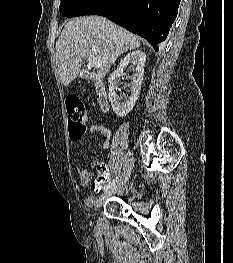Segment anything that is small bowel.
<instances>
[{"label":"small bowel","instance_id":"1","mask_svg":"<svg viewBox=\"0 0 233 263\" xmlns=\"http://www.w3.org/2000/svg\"><path fill=\"white\" fill-rule=\"evenodd\" d=\"M90 133H100L104 137L103 149H108L111 143V131L103 124H92L89 128ZM92 168H97L98 171H108L109 167L106 166L100 159H95L91 162ZM80 177V183L82 186H87L92 179V173L86 168H80L78 170ZM104 184V183H100ZM94 190V189H93ZM84 202L88 206H94L97 203V199L94 195H86Z\"/></svg>","mask_w":233,"mask_h":263}]
</instances>
